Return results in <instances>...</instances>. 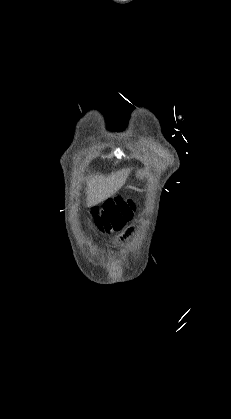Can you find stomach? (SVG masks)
Here are the masks:
<instances>
[{
	"label": "stomach",
	"mask_w": 231,
	"mask_h": 419,
	"mask_svg": "<svg viewBox=\"0 0 231 419\" xmlns=\"http://www.w3.org/2000/svg\"><path fill=\"white\" fill-rule=\"evenodd\" d=\"M137 177H138V178H142V177H143V171H142V170H140V171L138 172Z\"/></svg>",
	"instance_id": "obj_1"
}]
</instances>
